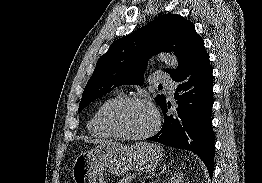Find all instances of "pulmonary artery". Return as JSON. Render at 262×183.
Wrapping results in <instances>:
<instances>
[{
	"mask_svg": "<svg viewBox=\"0 0 262 183\" xmlns=\"http://www.w3.org/2000/svg\"><path fill=\"white\" fill-rule=\"evenodd\" d=\"M157 80L166 85L170 93H173L176 84L169 77L159 76Z\"/></svg>",
	"mask_w": 262,
	"mask_h": 183,
	"instance_id": "pulmonary-artery-1",
	"label": "pulmonary artery"
}]
</instances>
